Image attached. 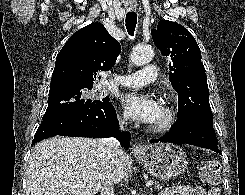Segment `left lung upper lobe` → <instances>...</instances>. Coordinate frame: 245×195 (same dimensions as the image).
<instances>
[{"mask_svg":"<svg viewBox=\"0 0 245 195\" xmlns=\"http://www.w3.org/2000/svg\"><path fill=\"white\" fill-rule=\"evenodd\" d=\"M156 47L171 62L169 80L178 93V116L213 120L205 68L196 40L178 23L161 20L151 30Z\"/></svg>","mask_w":245,"mask_h":195,"instance_id":"5c2ea615","label":"left lung upper lobe"}]
</instances>
